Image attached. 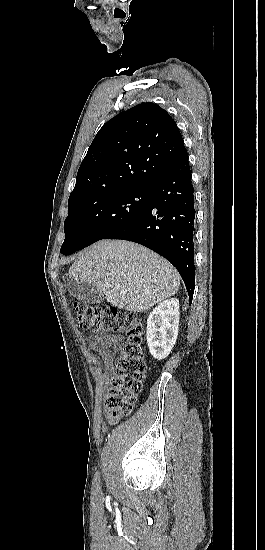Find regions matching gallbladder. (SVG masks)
Listing matches in <instances>:
<instances>
[{
    "mask_svg": "<svg viewBox=\"0 0 265 550\" xmlns=\"http://www.w3.org/2000/svg\"><path fill=\"white\" fill-rule=\"evenodd\" d=\"M68 291L77 299L85 304H100L104 300V294L86 282H76L68 278L65 281Z\"/></svg>",
    "mask_w": 265,
    "mask_h": 550,
    "instance_id": "1",
    "label": "gallbladder"
}]
</instances>
